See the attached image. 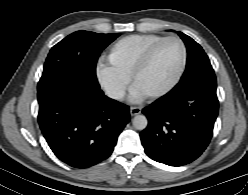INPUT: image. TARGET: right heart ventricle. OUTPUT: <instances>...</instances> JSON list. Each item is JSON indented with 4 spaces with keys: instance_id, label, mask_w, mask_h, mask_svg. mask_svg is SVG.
Wrapping results in <instances>:
<instances>
[{
    "instance_id": "e07e8e85",
    "label": "right heart ventricle",
    "mask_w": 248,
    "mask_h": 195,
    "mask_svg": "<svg viewBox=\"0 0 248 195\" xmlns=\"http://www.w3.org/2000/svg\"><path fill=\"white\" fill-rule=\"evenodd\" d=\"M165 38L161 35H143L126 39L116 47L110 63L119 74L130 77L149 52Z\"/></svg>"
}]
</instances>
